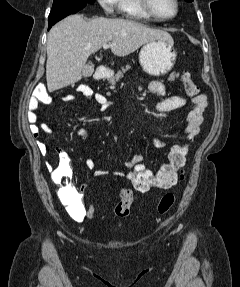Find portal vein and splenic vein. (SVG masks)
<instances>
[{
	"mask_svg": "<svg viewBox=\"0 0 240 287\" xmlns=\"http://www.w3.org/2000/svg\"><path fill=\"white\" fill-rule=\"evenodd\" d=\"M111 46H112L111 43L104 44V45H103V49H108V48L111 47Z\"/></svg>",
	"mask_w": 240,
	"mask_h": 287,
	"instance_id": "1",
	"label": "portal vein and splenic vein"
}]
</instances>
